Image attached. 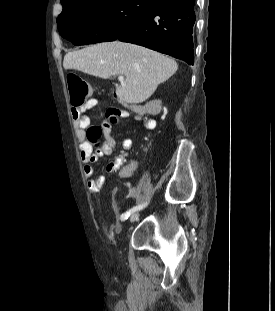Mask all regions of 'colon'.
Segmentation results:
<instances>
[{
  "label": "colon",
  "mask_w": 275,
  "mask_h": 311,
  "mask_svg": "<svg viewBox=\"0 0 275 311\" xmlns=\"http://www.w3.org/2000/svg\"><path fill=\"white\" fill-rule=\"evenodd\" d=\"M67 82L70 88L71 104L73 107H79L86 104H97V97L92 96L91 86L84 81L81 77L75 74H69L67 77ZM106 120L108 123L116 124L119 121L118 115L113 109L106 112ZM104 130L97 126H90L88 129V136L94 140L102 137Z\"/></svg>",
  "instance_id": "obj_1"
}]
</instances>
